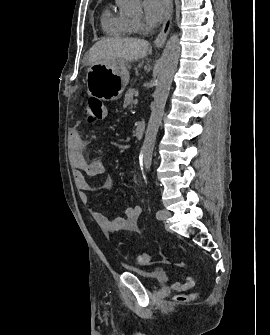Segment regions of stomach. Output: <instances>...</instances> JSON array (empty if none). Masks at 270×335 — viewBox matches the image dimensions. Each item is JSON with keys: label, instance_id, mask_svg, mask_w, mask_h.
<instances>
[{"label": "stomach", "instance_id": "obj_1", "mask_svg": "<svg viewBox=\"0 0 270 335\" xmlns=\"http://www.w3.org/2000/svg\"><path fill=\"white\" fill-rule=\"evenodd\" d=\"M129 72L122 60H117L114 66L93 62L87 68V92L97 100H118L121 98L129 82Z\"/></svg>", "mask_w": 270, "mask_h": 335}]
</instances>
